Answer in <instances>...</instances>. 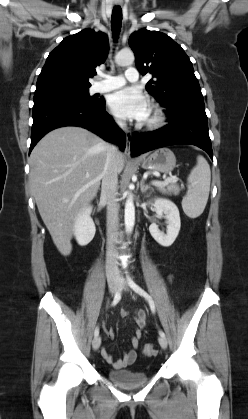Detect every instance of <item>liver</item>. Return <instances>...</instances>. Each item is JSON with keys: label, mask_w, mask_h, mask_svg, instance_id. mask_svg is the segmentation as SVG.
Segmentation results:
<instances>
[{"label": "liver", "mask_w": 248, "mask_h": 419, "mask_svg": "<svg viewBox=\"0 0 248 419\" xmlns=\"http://www.w3.org/2000/svg\"><path fill=\"white\" fill-rule=\"evenodd\" d=\"M108 143L80 127H62L45 135L30 156V186L40 216L59 252L71 253L75 218L97 194ZM118 173L124 156H116Z\"/></svg>", "instance_id": "obj_1"}]
</instances>
